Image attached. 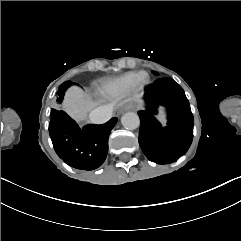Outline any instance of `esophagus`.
Masks as SVG:
<instances>
[{"label": "esophagus", "instance_id": "34e87169", "mask_svg": "<svg viewBox=\"0 0 241 241\" xmlns=\"http://www.w3.org/2000/svg\"><path fill=\"white\" fill-rule=\"evenodd\" d=\"M132 107V105L130 104V105H126V106H123L120 110L121 111H124L126 108H131Z\"/></svg>", "mask_w": 241, "mask_h": 241}]
</instances>
